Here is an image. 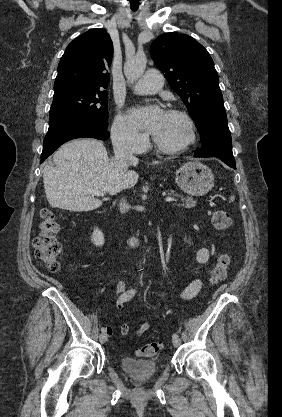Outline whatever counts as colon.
<instances>
[{
  "mask_svg": "<svg viewBox=\"0 0 282 417\" xmlns=\"http://www.w3.org/2000/svg\"><path fill=\"white\" fill-rule=\"evenodd\" d=\"M39 216L41 223L40 232L35 241L36 257L50 271L55 272L60 267V245L57 239L60 224L54 211L48 207L42 208L39 211ZM209 220L212 226L219 231L227 230L231 223L230 215L222 209L210 211ZM229 266L230 258L227 255L219 256L211 270L210 282L215 284L223 280ZM159 349L158 343H148L144 347H140L139 354L144 357H152L158 353Z\"/></svg>",
  "mask_w": 282,
  "mask_h": 417,
  "instance_id": "5ec220e1",
  "label": "colon"
}]
</instances>
